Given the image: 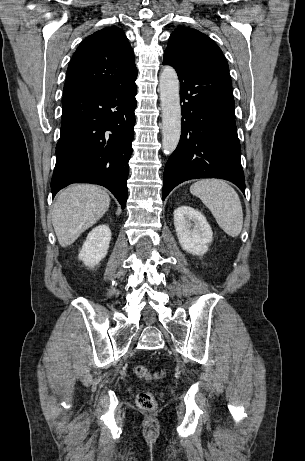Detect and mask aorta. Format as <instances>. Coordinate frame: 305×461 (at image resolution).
I'll use <instances>...</instances> for the list:
<instances>
[{
  "label": "aorta",
  "mask_w": 305,
  "mask_h": 461,
  "mask_svg": "<svg viewBox=\"0 0 305 461\" xmlns=\"http://www.w3.org/2000/svg\"><path fill=\"white\" fill-rule=\"evenodd\" d=\"M159 82L163 123L162 145L164 152L171 154L176 149L181 135L179 80L174 68L163 67Z\"/></svg>",
  "instance_id": "aorta-1"
}]
</instances>
